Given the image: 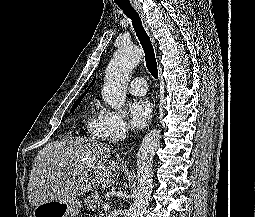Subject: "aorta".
Returning <instances> with one entry per match:
<instances>
[{
    "mask_svg": "<svg viewBox=\"0 0 255 217\" xmlns=\"http://www.w3.org/2000/svg\"><path fill=\"white\" fill-rule=\"evenodd\" d=\"M142 50L132 44H123L114 53L105 71L102 88L103 100L119 110L126 101L128 79L131 71L140 63ZM161 139L160 130L145 135L137 154V188L129 209V217H143L152 193V162Z\"/></svg>",
    "mask_w": 255,
    "mask_h": 217,
    "instance_id": "762f6f07",
    "label": "aorta"
}]
</instances>
